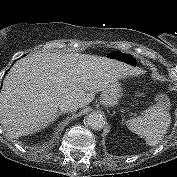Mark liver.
Returning <instances> with one entry per match:
<instances>
[{
	"mask_svg": "<svg viewBox=\"0 0 177 177\" xmlns=\"http://www.w3.org/2000/svg\"><path fill=\"white\" fill-rule=\"evenodd\" d=\"M143 71L122 61L89 54L33 53L17 60L0 93V121L10 138L30 135L52 123L59 106L81 108L119 79Z\"/></svg>",
	"mask_w": 177,
	"mask_h": 177,
	"instance_id": "1",
	"label": "liver"
}]
</instances>
